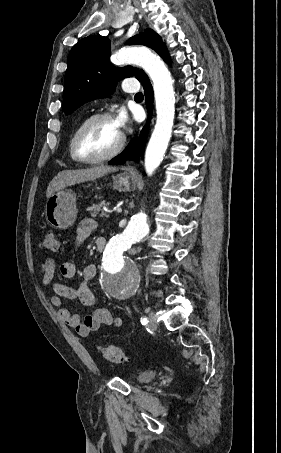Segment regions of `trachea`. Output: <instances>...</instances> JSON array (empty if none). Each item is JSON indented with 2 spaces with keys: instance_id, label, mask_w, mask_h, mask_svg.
<instances>
[{
  "instance_id": "trachea-1",
  "label": "trachea",
  "mask_w": 281,
  "mask_h": 453,
  "mask_svg": "<svg viewBox=\"0 0 281 453\" xmlns=\"http://www.w3.org/2000/svg\"><path fill=\"white\" fill-rule=\"evenodd\" d=\"M135 97H143V94L141 92L136 93Z\"/></svg>"
}]
</instances>
